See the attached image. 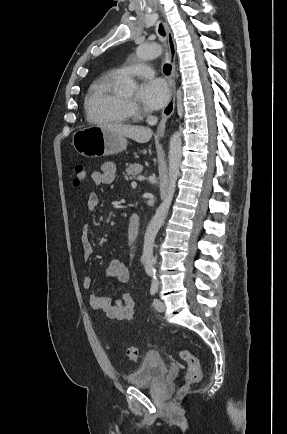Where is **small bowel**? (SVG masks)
<instances>
[{"label":"small bowel","instance_id":"1","mask_svg":"<svg viewBox=\"0 0 287 434\" xmlns=\"http://www.w3.org/2000/svg\"><path fill=\"white\" fill-rule=\"evenodd\" d=\"M92 182L97 185L111 184L116 179V168L110 162L103 163L100 170L94 171L91 174ZM99 196L96 193H90L86 200V209L89 212L95 211L99 207ZM89 225H86L80 239L82 256L84 260H88L93 255V247L88 236ZM106 277L117 281L118 283H126L130 279V271L123 260L116 258L111 261L106 269ZM82 286L89 290L93 286V278L85 276L82 279ZM89 302L93 309L102 311L109 319L114 320H130L134 315L136 300L129 294L124 293L119 299H112L108 296L91 293Z\"/></svg>","mask_w":287,"mask_h":434}]
</instances>
